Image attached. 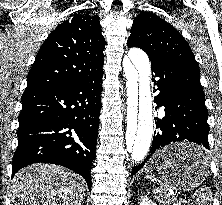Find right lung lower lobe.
Masks as SVG:
<instances>
[{
  "instance_id": "obj_1",
  "label": "right lung lower lobe",
  "mask_w": 222,
  "mask_h": 205,
  "mask_svg": "<svg viewBox=\"0 0 222 205\" xmlns=\"http://www.w3.org/2000/svg\"><path fill=\"white\" fill-rule=\"evenodd\" d=\"M103 71L80 82L24 91L12 175L33 163L67 167L87 182L95 158Z\"/></svg>"
}]
</instances>
